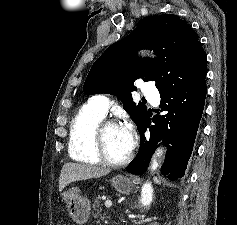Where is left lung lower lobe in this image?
Masks as SVG:
<instances>
[{"label":"left lung lower lobe","mask_w":237,"mask_h":225,"mask_svg":"<svg viewBox=\"0 0 237 225\" xmlns=\"http://www.w3.org/2000/svg\"><path fill=\"white\" fill-rule=\"evenodd\" d=\"M205 78L206 76L197 83L160 93L159 111L168 113L154 117V125L151 124L150 113L144 117L138 127L141 137L140 150L127 167V172L136 175L144 173L157 143L162 140L167 146V153L161 173L169 180L184 176L204 109L207 93ZM147 129L151 132L149 139L144 136Z\"/></svg>","instance_id":"left-lung-lower-lobe-1"}]
</instances>
